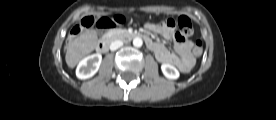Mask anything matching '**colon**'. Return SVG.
<instances>
[{
    "mask_svg": "<svg viewBox=\"0 0 276 120\" xmlns=\"http://www.w3.org/2000/svg\"><path fill=\"white\" fill-rule=\"evenodd\" d=\"M111 21V22H110ZM126 18L121 15H113L111 17V20L108 18H100L98 20V27L100 29H108L111 25L116 26V27H124L126 25ZM93 24V19L91 16L87 15L85 16L82 20L79 21V23L74 24L73 26L70 27L69 31L72 35H76L80 32L81 29L88 28ZM161 24L165 25L166 27H174L176 24L178 26V35L179 37L185 38L187 36H190L194 29H193V23L191 19L187 16H180L177 20V23H175L174 20L172 19H167L164 20ZM192 53L196 56L199 57L203 53V43L201 40H196L193 43L192 46Z\"/></svg>",
    "mask_w": 276,
    "mask_h": 120,
    "instance_id": "colon-1",
    "label": "colon"
}]
</instances>
